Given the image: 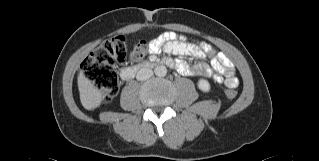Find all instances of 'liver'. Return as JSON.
<instances>
[{
    "mask_svg": "<svg viewBox=\"0 0 319 161\" xmlns=\"http://www.w3.org/2000/svg\"><path fill=\"white\" fill-rule=\"evenodd\" d=\"M77 82L83 107L87 110L97 108L103 98L101 91L85 76L83 71L79 72Z\"/></svg>",
    "mask_w": 319,
    "mask_h": 161,
    "instance_id": "1",
    "label": "liver"
}]
</instances>
